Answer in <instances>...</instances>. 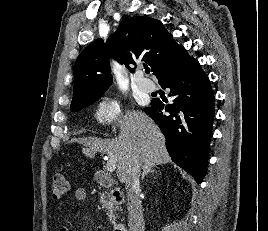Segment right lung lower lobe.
Listing matches in <instances>:
<instances>
[{
    "label": "right lung lower lobe",
    "instance_id": "98d812e1",
    "mask_svg": "<svg viewBox=\"0 0 268 231\" xmlns=\"http://www.w3.org/2000/svg\"><path fill=\"white\" fill-rule=\"evenodd\" d=\"M169 88L173 103L153 99L145 108L166 138L172 160L201 183L209 155L214 120V94L208 76L196 59L173 69L159 79Z\"/></svg>",
    "mask_w": 268,
    "mask_h": 231
}]
</instances>
